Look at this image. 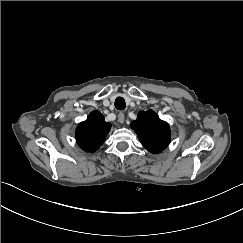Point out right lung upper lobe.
I'll return each mask as SVG.
<instances>
[{
  "mask_svg": "<svg viewBox=\"0 0 243 243\" xmlns=\"http://www.w3.org/2000/svg\"><path fill=\"white\" fill-rule=\"evenodd\" d=\"M110 128L111 124L105 122L104 116L99 111H93L86 121L78 125L77 143L84 151L94 152L102 145Z\"/></svg>",
  "mask_w": 243,
  "mask_h": 243,
  "instance_id": "cb5924a9",
  "label": "right lung upper lobe"
}]
</instances>
